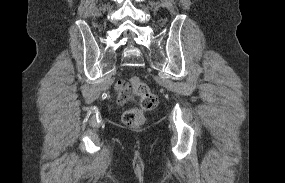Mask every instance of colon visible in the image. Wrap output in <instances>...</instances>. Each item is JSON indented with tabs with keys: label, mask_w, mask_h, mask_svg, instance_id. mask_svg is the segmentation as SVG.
I'll return each mask as SVG.
<instances>
[{
	"label": "colon",
	"mask_w": 285,
	"mask_h": 183,
	"mask_svg": "<svg viewBox=\"0 0 285 183\" xmlns=\"http://www.w3.org/2000/svg\"><path fill=\"white\" fill-rule=\"evenodd\" d=\"M129 84L140 100L141 109H129L123 114V121L130 128L141 127L145 123L144 112L153 110L158 103L157 96L137 77H130Z\"/></svg>",
	"instance_id": "5ec220e1"
}]
</instances>
